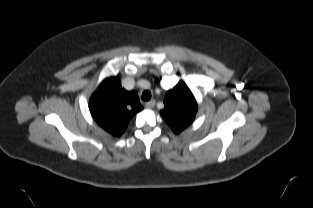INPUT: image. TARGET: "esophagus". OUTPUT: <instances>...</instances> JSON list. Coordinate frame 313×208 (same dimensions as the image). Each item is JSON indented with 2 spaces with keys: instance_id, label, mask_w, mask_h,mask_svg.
I'll use <instances>...</instances> for the list:
<instances>
[{
  "instance_id": "1",
  "label": "esophagus",
  "mask_w": 313,
  "mask_h": 208,
  "mask_svg": "<svg viewBox=\"0 0 313 208\" xmlns=\"http://www.w3.org/2000/svg\"><path fill=\"white\" fill-rule=\"evenodd\" d=\"M145 106L148 108V109H151L155 106V100H150L148 102L145 103Z\"/></svg>"
}]
</instances>
